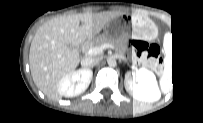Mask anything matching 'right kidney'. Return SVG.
I'll return each instance as SVG.
<instances>
[{
  "label": "right kidney",
  "mask_w": 203,
  "mask_h": 123,
  "mask_svg": "<svg viewBox=\"0 0 203 123\" xmlns=\"http://www.w3.org/2000/svg\"><path fill=\"white\" fill-rule=\"evenodd\" d=\"M93 73L89 69H79L63 77L58 84L59 94L64 97H75L88 88Z\"/></svg>",
  "instance_id": "obj_1"
}]
</instances>
